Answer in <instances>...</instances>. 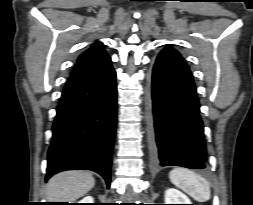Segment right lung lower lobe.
<instances>
[{"label": "right lung lower lobe", "mask_w": 253, "mask_h": 205, "mask_svg": "<svg viewBox=\"0 0 253 205\" xmlns=\"http://www.w3.org/2000/svg\"><path fill=\"white\" fill-rule=\"evenodd\" d=\"M116 97L111 59L69 77L53 123L46 180L60 171L85 169L100 174L110 187Z\"/></svg>", "instance_id": "obj_1"}]
</instances>
